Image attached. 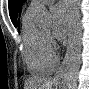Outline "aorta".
Returning <instances> with one entry per match:
<instances>
[{
	"mask_svg": "<svg viewBox=\"0 0 89 89\" xmlns=\"http://www.w3.org/2000/svg\"><path fill=\"white\" fill-rule=\"evenodd\" d=\"M69 4V33L68 46L65 55L66 66L63 76V89H76L81 65L82 26L79 0H68ZM36 23L40 26L51 24V15L43 4L36 9Z\"/></svg>",
	"mask_w": 89,
	"mask_h": 89,
	"instance_id": "obj_1",
	"label": "aorta"
}]
</instances>
